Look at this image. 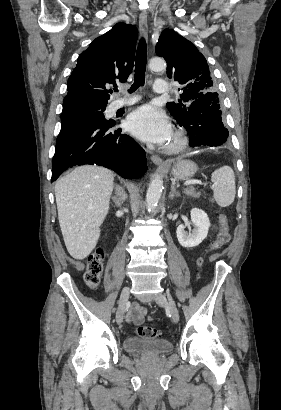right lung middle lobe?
Segmentation results:
<instances>
[{
    "label": "right lung middle lobe",
    "instance_id": "obj_1",
    "mask_svg": "<svg viewBox=\"0 0 281 410\" xmlns=\"http://www.w3.org/2000/svg\"><path fill=\"white\" fill-rule=\"evenodd\" d=\"M105 107L106 106L84 104L63 107L61 113L62 127L60 133L66 132L83 123L106 121L103 114Z\"/></svg>",
    "mask_w": 281,
    "mask_h": 410
}]
</instances>
